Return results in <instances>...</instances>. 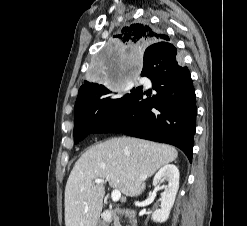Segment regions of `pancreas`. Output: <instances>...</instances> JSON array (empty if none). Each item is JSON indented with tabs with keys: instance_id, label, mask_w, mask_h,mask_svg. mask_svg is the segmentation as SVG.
I'll return each instance as SVG.
<instances>
[{
	"instance_id": "obj_1",
	"label": "pancreas",
	"mask_w": 247,
	"mask_h": 226,
	"mask_svg": "<svg viewBox=\"0 0 247 226\" xmlns=\"http://www.w3.org/2000/svg\"><path fill=\"white\" fill-rule=\"evenodd\" d=\"M114 226H120L119 224V220L117 217L114 218V222H113Z\"/></svg>"
}]
</instances>
